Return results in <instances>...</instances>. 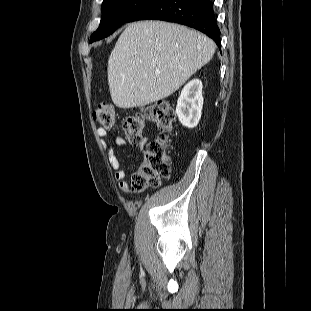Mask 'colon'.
<instances>
[{
    "label": "colon",
    "instance_id": "1",
    "mask_svg": "<svg viewBox=\"0 0 311 311\" xmlns=\"http://www.w3.org/2000/svg\"><path fill=\"white\" fill-rule=\"evenodd\" d=\"M93 117L94 121L104 128H112L115 124V110L106 102L99 104ZM174 119V111L167 101H158L140 113L124 117L122 129L131 143L138 144L142 141L147 120L153 122L161 133V136L151 141L144 151L143 158L131 179L133 190L143 191L157 185L161 179L170 175L167 134L172 130Z\"/></svg>",
    "mask_w": 311,
    "mask_h": 311
}]
</instances>
